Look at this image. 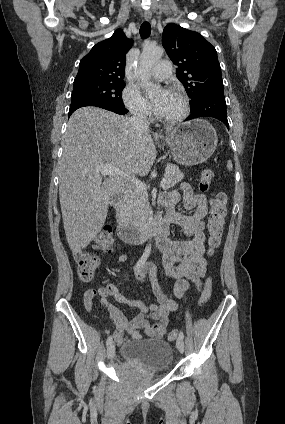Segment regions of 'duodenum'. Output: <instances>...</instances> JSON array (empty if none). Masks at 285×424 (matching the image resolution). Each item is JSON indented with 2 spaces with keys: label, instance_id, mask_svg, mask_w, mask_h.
<instances>
[{
  "label": "duodenum",
  "instance_id": "duodenum-1",
  "mask_svg": "<svg viewBox=\"0 0 285 424\" xmlns=\"http://www.w3.org/2000/svg\"><path fill=\"white\" fill-rule=\"evenodd\" d=\"M114 206L118 213L116 232L122 242L138 244L155 236L166 235L168 221L162 216H156L149 225L131 226L125 223L120 216L122 203L119 199L114 200Z\"/></svg>",
  "mask_w": 285,
  "mask_h": 424
}]
</instances>
